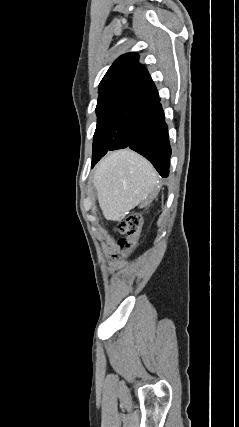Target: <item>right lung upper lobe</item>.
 Here are the masks:
<instances>
[{
	"mask_svg": "<svg viewBox=\"0 0 239 427\" xmlns=\"http://www.w3.org/2000/svg\"><path fill=\"white\" fill-rule=\"evenodd\" d=\"M156 96L157 89L136 53L120 56L99 84L98 101L123 98L150 100Z\"/></svg>",
	"mask_w": 239,
	"mask_h": 427,
	"instance_id": "right-lung-upper-lobe-1",
	"label": "right lung upper lobe"
}]
</instances>
